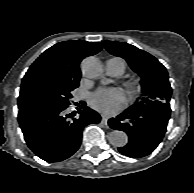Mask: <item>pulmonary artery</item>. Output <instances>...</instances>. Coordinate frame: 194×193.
I'll use <instances>...</instances> for the list:
<instances>
[{
    "label": "pulmonary artery",
    "mask_w": 194,
    "mask_h": 193,
    "mask_svg": "<svg viewBox=\"0 0 194 193\" xmlns=\"http://www.w3.org/2000/svg\"><path fill=\"white\" fill-rule=\"evenodd\" d=\"M105 69L108 75L117 77L123 74L125 63L121 58H110L105 63Z\"/></svg>",
    "instance_id": "obj_1"
}]
</instances>
